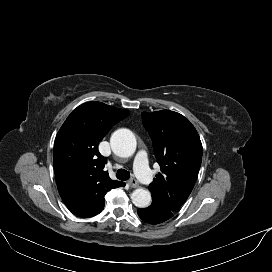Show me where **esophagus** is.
<instances>
[{"instance_id":"34e87169","label":"esophagus","mask_w":272,"mask_h":272,"mask_svg":"<svg viewBox=\"0 0 272 272\" xmlns=\"http://www.w3.org/2000/svg\"><path fill=\"white\" fill-rule=\"evenodd\" d=\"M129 185L132 187V188H136V187H138V182H137V180L135 179V178H132V179H130V181H129Z\"/></svg>"}]
</instances>
